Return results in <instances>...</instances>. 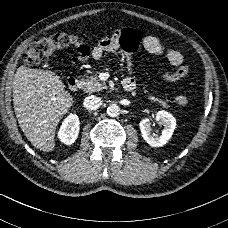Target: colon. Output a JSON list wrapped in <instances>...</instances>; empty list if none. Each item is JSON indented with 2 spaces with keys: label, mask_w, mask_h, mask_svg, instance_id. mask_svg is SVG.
<instances>
[{
  "label": "colon",
  "mask_w": 228,
  "mask_h": 228,
  "mask_svg": "<svg viewBox=\"0 0 228 228\" xmlns=\"http://www.w3.org/2000/svg\"><path fill=\"white\" fill-rule=\"evenodd\" d=\"M64 49H69L73 55L80 57H88L91 52L89 42L85 38L73 33L56 32L38 38L27 50L25 61L29 65H38ZM175 101L179 105H185L187 98L183 93L176 92Z\"/></svg>",
  "instance_id": "5ec220e1"
}]
</instances>
